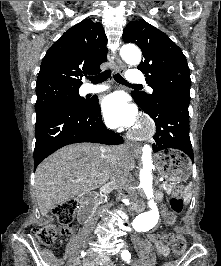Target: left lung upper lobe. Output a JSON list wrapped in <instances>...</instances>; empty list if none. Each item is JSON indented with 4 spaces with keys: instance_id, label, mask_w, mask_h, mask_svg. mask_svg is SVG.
Instances as JSON below:
<instances>
[{
    "instance_id": "obj_1",
    "label": "left lung upper lobe",
    "mask_w": 221,
    "mask_h": 266,
    "mask_svg": "<svg viewBox=\"0 0 221 266\" xmlns=\"http://www.w3.org/2000/svg\"><path fill=\"white\" fill-rule=\"evenodd\" d=\"M122 38L142 50L144 61L138 69L145 73L151 95L132 92L145 109L155 110L164 100L190 103V71L182 50L162 31L141 19L125 27Z\"/></svg>"
}]
</instances>
